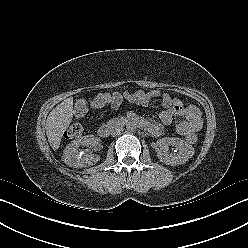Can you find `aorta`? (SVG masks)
Listing matches in <instances>:
<instances>
[{
  "label": "aorta",
  "mask_w": 248,
  "mask_h": 248,
  "mask_svg": "<svg viewBox=\"0 0 248 248\" xmlns=\"http://www.w3.org/2000/svg\"><path fill=\"white\" fill-rule=\"evenodd\" d=\"M126 129L129 133H134L136 131V125L134 123H128Z\"/></svg>",
  "instance_id": "1"
}]
</instances>
